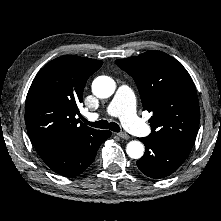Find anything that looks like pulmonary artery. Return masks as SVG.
<instances>
[{"instance_id":"obj_1","label":"pulmonary artery","mask_w":221,"mask_h":221,"mask_svg":"<svg viewBox=\"0 0 221 221\" xmlns=\"http://www.w3.org/2000/svg\"><path fill=\"white\" fill-rule=\"evenodd\" d=\"M107 114L110 116L119 117L124 126L132 133L144 136L149 133L148 126L143 123L136 115L135 97L132 90L122 85L118 88L113 100L107 108ZM99 114L90 113L87 115L89 120H96Z\"/></svg>"}]
</instances>
